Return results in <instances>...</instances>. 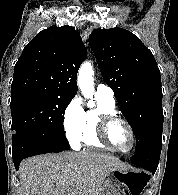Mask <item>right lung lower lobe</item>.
Segmentation results:
<instances>
[{
	"instance_id": "right-lung-lower-lobe-1",
	"label": "right lung lower lobe",
	"mask_w": 178,
	"mask_h": 195,
	"mask_svg": "<svg viewBox=\"0 0 178 195\" xmlns=\"http://www.w3.org/2000/svg\"><path fill=\"white\" fill-rule=\"evenodd\" d=\"M69 149L67 139L57 134L19 135L12 140V157L15 169H19L21 160L44 153L62 152Z\"/></svg>"
}]
</instances>
